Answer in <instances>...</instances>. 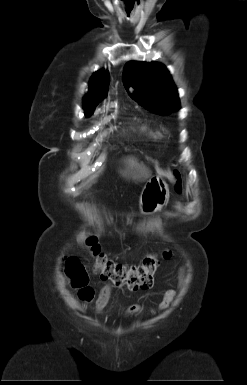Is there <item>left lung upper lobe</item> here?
I'll list each match as a JSON object with an SVG mask.
<instances>
[{"label":"left lung upper lobe","mask_w":247,"mask_h":385,"mask_svg":"<svg viewBox=\"0 0 247 385\" xmlns=\"http://www.w3.org/2000/svg\"><path fill=\"white\" fill-rule=\"evenodd\" d=\"M123 83L127 90L133 87L134 96L143 102L140 105L155 114L169 115L180 107L177 89L162 64L128 62L123 70Z\"/></svg>","instance_id":"5c2ea615"}]
</instances>
